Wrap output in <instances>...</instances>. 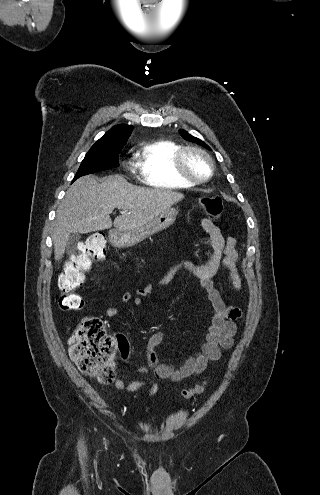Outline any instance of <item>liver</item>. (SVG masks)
Here are the masks:
<instances>
[{"label": "liver", "mask_w": 320, "mask_h": 495, "mask_svg": "<svg viewBox=\"0 0 320 495\" xmlns=\"http://www.w3.org/2000/svg\"><path fill=\"white\" fill-rule=\"evenodd\" d=\"M183 198L171 190L134 186L120 175H111L102 183L93 176L81 177L69 187L57 210L52 233L54 258H63L71 234L110 229L115 208L122 210L113 222L115 230L125 231L149 223Z\"/></svg>", "instance_id": "obj_1"}]
</instances>
